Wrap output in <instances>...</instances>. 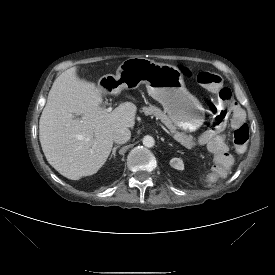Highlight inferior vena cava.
<instances>
[{
	"mask_svg": "<svg viewBox=\"0 0 275 275\" xmlns=\"http://www.w3.org/2000/svg\"><path fill=\"white\" fill-rule=\"evenodd\" d=\"M131 137V132L128 128L117 129L113 134V141L118 144L126 143Z\"/></svg>",
	"mask_w": 275,
	"mask_h": 275,
	"instance_id": "obj_1",
	"label": "inferior vena cava"
}]
</instances>
